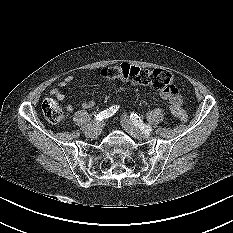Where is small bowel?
Wrapping results in <instances>:
<instances>
[{
    "instance_id": "small-bowel-1",
    "label": "small bowel",
    "mask_w": 233,
    "mask_h": 233,
    "mask_svg": "<svg viewBox=\"0 0 233 233\" xmlns=\"http://www.w3.org/2000/svg\"><path fill=\"white\" fill-rule=\"evenodd\" d=\"M72 80H73L72 76H66L65 78H63L59 82V87L53 88L51 90V94L53 96H55L58 100L64 101L65 95H64V93L62 91V88L69 85L72 82ZM160 96H161V98L168 101L170 111L177 118L180 119L182 114L186 115V111L183 108V103H182L181 96L179 95L177 90H174V91H161ZM92 106H93V102H90V101L85 102V103L82 104V107L86 108V109L91 108ZM65 107H66V109L68 111L73 110L72 106L70 104H68V103L65 104Z\"/></svg>"
}]
</instances>
